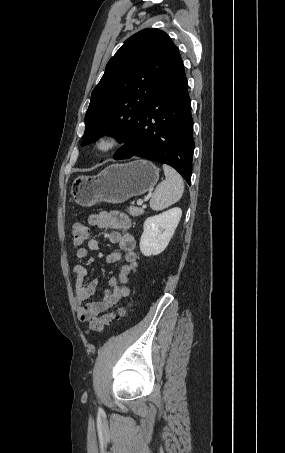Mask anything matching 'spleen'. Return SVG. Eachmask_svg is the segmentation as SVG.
Returning a JSON list of instances; mask_svg holds the SVG:
<instances>
[{"label": "spleen", "mask_w": 285, "mask_h": 453, "mask_svg": "<svg viewBox=\"0 0 285 453\" xmlns=\"http://www.w3.org/2000/svg\"><path fill=\"white\" fill-rule=\"evenodd\" d=\"M163 170L166 179L156 187L150 200V207L154 211H160L175 204L184 191V182L178 172L166 164L163 165Z\"/></svg>", "instance_id": "spleen-1"}]
</instances>
